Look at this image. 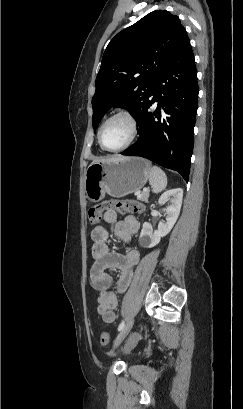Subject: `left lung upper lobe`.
<instances>
[{"label": "left lung upper lobe", "mask_w": 243, "mask_h": 409, "mask_svg": "<svg viewBox=\"0 0 243 409\" xmlns=\"http://www.w3.org/2000/svg\"><path fill=\"white\" fill-rule=\"evenodd\" d=\"M188 40L178 16L153 11L118 33L108 44L92 98L94 130L111 106L136 119L164 67Z\"/></svg>", "instance_id": "left-lung-upper-lobe-1"}]
</instances>
